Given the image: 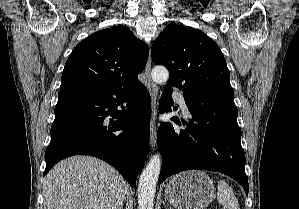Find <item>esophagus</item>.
<instances>
[{
	"label": "esophagus",
	"instance_id": "1",
	"mask_svg": "<svg viewBox=\"0 0 299 209\" xmlns=\"http://www.w3.org/2000/svg\"><path fill=\"white\" fill-rule=\"evenodd\" d=\"M146 87L151 96V121H150V145L152 148L155 147L157 141V132H156V118H157V86L152 81L151 78V55L149 58L144 70Z\"/></svg>",
	"mask_w": 299,
	"mask_h": 209
}]
</instances>
